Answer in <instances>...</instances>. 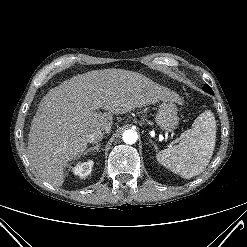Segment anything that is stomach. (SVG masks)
I'll use <instances>...</instances> for the list:
<instances>
[{"label": "stomach", "mask_w": 247, "mask_h": 247, "mask_svg": "<svg viewBox=\"0 0 247 247\" xmlns=\"http://www.w3.org/2000/svg\"><path fill=\"white\" fill-rule=\"evenodd\" d=\"M179 122L177 107L172 101H163L156 115V123L161 130L171 132Z\"/></svg>", "instance_id": "stomach-1"}]
</instances>
